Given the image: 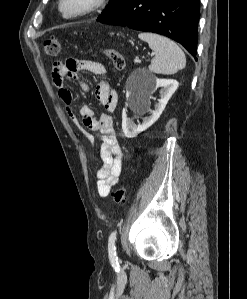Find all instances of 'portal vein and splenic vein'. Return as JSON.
Wrapping results in <instances>:
<instances>
[{"instance_id":"obj_1","label":"portal vein and splenic vein","mask_w":247,"mask_h":299,"mask_svg":"<svg viewBox=\"0 0 247 299\" xmlns=\"http://www.w3.org/2000/svg\"><path fill=\"white\" fill-rule=\"evenodd\" d=\"M134 62H135V63H138V62H140V60H139L138 58H136V59L134 60Z\"/></svg>"}]
</instances>
